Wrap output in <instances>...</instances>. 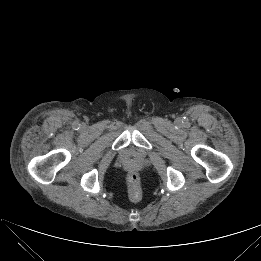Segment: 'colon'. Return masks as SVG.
Wrapping results in <instances>:
<instances>
[{
	"label": "colon",
	"mask_w": 261,
	"mask_h": 261,
	"mask_svg": "<svg viewBox=\"0 0 261 261\" xmlns=\"http://www.w3.org/2000/svg\"><path fill=\"white\" fill-rule=\"evenodd\" d=\"M128 196L132 202H137L141 198V186L136 173H131L128 176Z\"/></svg>",
	"instance_id": "colon-1"
}]
</instances>
